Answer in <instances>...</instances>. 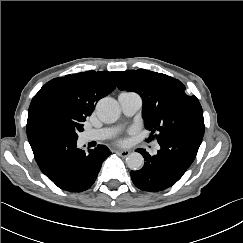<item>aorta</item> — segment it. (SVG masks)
<instances>
[{
  "instance_id": "762f6f07",
  "label": "aorta",
  "mask_w": 243,
  "mask_h": 243,
  "mask_svg": "<svg viewBox=\"0 0 243 243\" xmlns=\"http://www.w3.org/2000/svg\"><path fill=\"white\" fill-rule=\"evenodd\" d=\"M120 107L116 100L103 98L96 104V114L104 123H114L120 117ZM127 166L134 171L140 170L144 165V158L138 152L130 153L126 158Z\"/></svg>"
}]
</instances>
